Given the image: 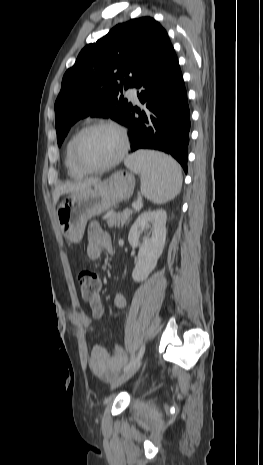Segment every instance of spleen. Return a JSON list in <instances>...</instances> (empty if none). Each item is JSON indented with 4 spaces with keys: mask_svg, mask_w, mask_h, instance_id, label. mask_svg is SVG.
<instances>
[{
    "mask_svg": "<svg viewBox=\"0 0 263 465\" xmlns=\"http://www.w3.org/2000/svg\"><path fill=\"white\" fill-rule=\"evenodd\" d=\"M125 165L140 175L141 193L156 204L174 199L182 187L181 167L171 156L140 150L127 157Z\"/></svg>",
    "mask_w": 263,
    "mask_h": 465,
    "instance_id": "spleen-1",
    "label": "spleen"
}]
</instances>
